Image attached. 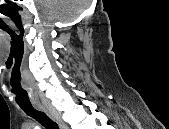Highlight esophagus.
I'll return each instance as SVG.
<instances>
[{
	"instance_id": "1",
	"label": "esophagus",
	"mask_w": 169,
	"mask_h": 129,
	"mask_svg": "<svg viewBox=\"0 0 169 129\" xmlns=\"http://www.w3.org/2000/svg\"><path fill=\"white\" fill-rule=\"evenodd\" d=\"M35 108H37L38 110H41V111H45V108L40 104L35 105ZM58 124L60 125V127L64 126V124H62V123H58Z\"/></svg>"
}]
</instances>
